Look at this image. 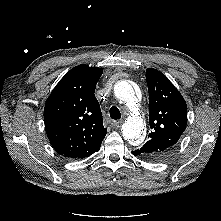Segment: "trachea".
I'll use <instances>...</instances> for the list:
<instances>
[{"mask_svg":"<svg viewBox=\"0 0 221 221\" xmlns=\"http://www.w3.org/2000/svg\"><path fill=\"white\" fill-rule=\"evenodd\" d=\"M110 117L114 120L120 119L121 118V113L119 109L116 106H112L110 108Z\"/></svg>","mask_w":221,"mask_h":221,"instance_id":"trachea-1","label":"trachea"}]
</instances>
